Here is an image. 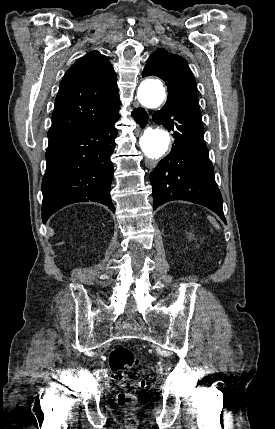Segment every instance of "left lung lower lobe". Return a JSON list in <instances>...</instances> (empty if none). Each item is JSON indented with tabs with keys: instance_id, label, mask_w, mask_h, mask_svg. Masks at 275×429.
<instances>
[{
	"instance_id": "0a47b994",
	"label": "left lung lower lobe",
	"mask_w": 275,
	"mask_h": 429,
	"mask_svg": "<svg viewBox=\"0 0 275 429\" xmlns=\"http://www.w3.org/2000/svg\"><path fill=\"white\" fill-rule=\"evenodd\" d=\"M153 121L173 131L175 138L171 152L150 174L153 209L172 200L190 201L211 209L227 224L204 141L201 112L191 105L166 102L153 114Z\"/></svg>"
}]
</instances>
